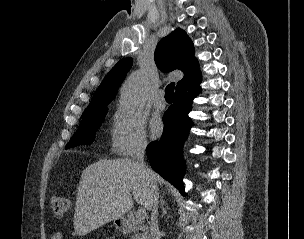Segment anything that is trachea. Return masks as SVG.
<instances>
[{
  "instance_id": "1",
  "label": "trachea",
  "mask_w": 304,
  "mask_h": 239,
  "mask_svg": "<svg viewBox=\"0 0 304 239\" xmlns=\"http://www.w3.org/2000/svg\"><path fill=\"white\" fill-rule=\"evenodd\" d=\"M175 83H170L165 88V99L166 100H172L173 99V93H174Z\"/></svg>"
}]
</instances>
